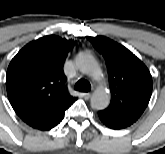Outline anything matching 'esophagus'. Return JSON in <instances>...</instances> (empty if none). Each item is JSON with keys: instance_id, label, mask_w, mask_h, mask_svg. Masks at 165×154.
I'll list each match as a JSON object with an SVG mask.
<instances>
[{"instance_id": "obj_1", "label": "esophagus", "mask_w": 165, "mask_h": 154, "mask_svg": "<svg viewBox=\"0 0 165 154\" xmlns=\"http://www.w3.org/2000/svg\"><path fill=\"white\" fill-rule=\"evenodd\" d=\"M92 93H85L84 96L85 98L89 99L91 97Z\"/></svg>"}]
</instances>
